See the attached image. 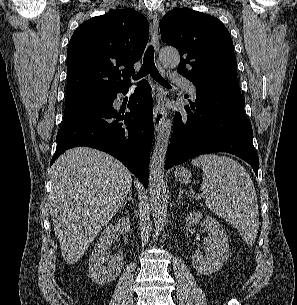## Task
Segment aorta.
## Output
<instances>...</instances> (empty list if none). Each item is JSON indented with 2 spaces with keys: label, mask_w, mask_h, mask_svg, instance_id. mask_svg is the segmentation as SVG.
Returning a JSON list of instances; mask_svg holds the SVG:
<instances>
[{
  "label": "aorta",
  "mask_w": 297,
  "mask_h": 305,
  "mask_svg": "<svg viewBox=\"0 0 297 305\" xmlns=\"http://www.w3.org/2000/svg\"><path fill=\"white\" fill-rule=\"evenodd\" d=\"M159 58L162 64L169 68H176L180 61L178 50L170 47L162 48ZM172 126L171 119L166 118L162 121L149 165L150 206L155 227L160 231L164 228L167 220L168 202L164 180V163Z\"/></svg>",
  "instance_id": "1"
}]
</instances>
